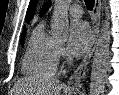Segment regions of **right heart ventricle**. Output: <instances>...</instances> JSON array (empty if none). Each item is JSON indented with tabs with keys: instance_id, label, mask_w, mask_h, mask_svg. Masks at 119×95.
Wrapping results in <instances>:
<instances>
[{
	"instance_id": "e07e8e85",
	"label": "right heart ventricle",
	"mask_w": 119,
	"mask_h": 95,
	"mask_svg": "<svg viewBox=\"0 0 119 95\" xmlns=\"http://www.w3.org/2000/svg\"><path fill=\"white\" fill-rule=\"evenodd\" d=\"M57 41L45 32L44 23L33 31L23 57L22 71L29 77L48 78L57 70Z\"/></svg>"
}]
</instances>
